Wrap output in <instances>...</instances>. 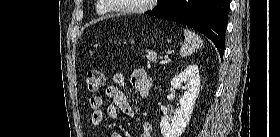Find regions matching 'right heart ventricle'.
<instances>
[{
    "label": "right heart ventricle",
    "instance_id": "obj_1",
    "mask_svg": "<svg viewBox=\"0 0 280 137\" xmlns=\"http://www.w3.org/2000/svg\"><path fill=\"white\" fill-rule=\"evenodd\" d=\"M95 11L99 15H106L109 12L108 7L101 0L96 1Z\"/></svg>",
    "mask_w": 280,
    "mask_h": 137
}]
</instances>
